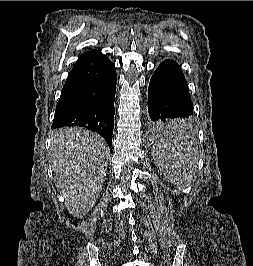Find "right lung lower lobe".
<instances>
[{
  "label": "right lung lower lobe",
  "mask_w": 253,
  "mask_h": 266,
  "mask_svg": "<svg viewBox=\"0 0 253 266\" xmlns=\"http://www.w3.org/2000/svg\"><path fill=\"white\" fill-rule=\"evenodd\" d=\"M115 65L98 50L82 56L62 88L52 129L81 126L100 134L112 147Z\"/></svg>",
  "instance_id": "1"
}]
</instances>
